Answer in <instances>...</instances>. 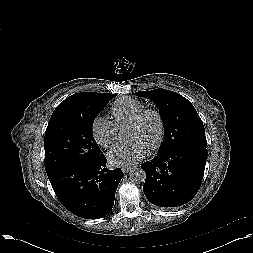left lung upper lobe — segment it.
Wrapping results in <instances>:
<instances>
[{
  "mask_svg": "<svg viewBox=\"0 0 253 253\" xmlns=\"http://www.w3.org/2000/svg\"><path fill=\"white\" fill-rule=\"evenodd\" d=\"M136 95L152 100L159 107L164 125V140L158 153L183 144L207 147L203 122L185 97L160 88L138 91Z\"/></svg>",
  "mask_w": 253,
  "mask_h": 253,
  "instance_id": "obj_1",
  "label": "left lung upper lobe"
}]
</instances>
